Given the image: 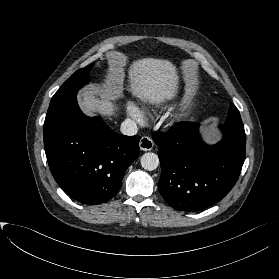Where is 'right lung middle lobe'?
Listing matches in <instances>:
<instances>
[{"instance_id":"obj_1","label":"right lung middle lobe","mask_w":279,"mask_h":279,"mask_svg":"<svg viewBox=\"0 0 279 279\" xmlns=\"http://www.w3.org/2000/svg\"><path fill=\"white\" fill-rule=\"evenodd\" d=\"M94 63L77 70L66 80L51 99L45 121H49L76 100L77 91L88 82V75Z\"/></svg>"}]
</instances>
